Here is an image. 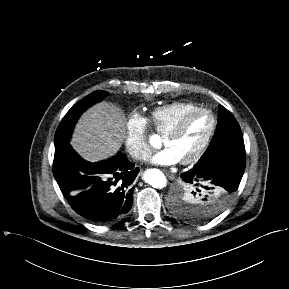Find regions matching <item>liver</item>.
<instances>
[{"label": "liver", "mask_w": 289, "mask_h": 289, "mask_svg": "<svg viewBox=\"0 0 289 289\" xmlns=\"http://www.w3.org/2000/svg\"><path fill=\"white\" fill-rule=\"evenodd\" d=\"M125 130L124 112L113 104L100 102L81 116L71 145L83 159L98 162L117 153L125 138Z\"/></svg>", "instance_id": "liver-1"}]
</instances>
